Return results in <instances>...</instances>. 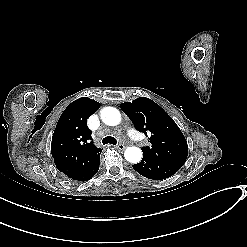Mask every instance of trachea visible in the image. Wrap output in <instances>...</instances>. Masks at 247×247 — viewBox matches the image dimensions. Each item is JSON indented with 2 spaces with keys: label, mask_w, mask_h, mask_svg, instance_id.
Listing matches in <instances>:
<instances>
[{
  "label": "trachea",
  "mask_w": 247,
  "mask_h": 247,
  "mask_svg": "<svg viewBox=\"0 0 247 247\" xmlns=\"http://www.w3.org/2000/svg\"><path fill=\"white\" fill-rule=\"evenodd\" d=\"M102 143L103 145H106V144L116 145L117 140L112 136H106L105 138H103Z\"/></svg>",
  "instance_id": "1"
}]
</instances>
